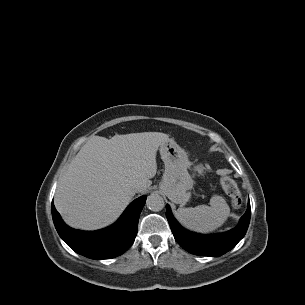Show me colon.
Instances as JSON below:
<instances>
[{
    "label": "colon",
    "mask_w": 305,
    "mask_h": 305,
    "mask_svg": "<svg viewBox=\"0 0 305 305\" xmlns=\"http://www.w3.org/2000/svg\"><path fill=\"white\" fill-rule=\"evenodd\" d=\"M220 184L234 206L241 204V194L235 181L227 174L220 178Z\"/></svg>",
    "instance_id": "obj_1"
}]
</instances>
